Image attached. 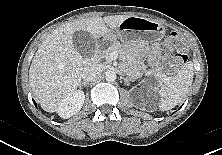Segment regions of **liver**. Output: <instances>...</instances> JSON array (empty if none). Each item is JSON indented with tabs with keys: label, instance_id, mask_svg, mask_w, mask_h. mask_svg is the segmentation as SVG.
Returning <instances> with one entry per match:
<instances>
[{
	"label": "liver",
	"instance_id": "6515ba94",
	"mask_svg": "<svg viewBox=\"0 0 222 155\" xmlns=\"http://www.w3.org/2000/svg\"><path fill=\"white\" fill-rule=\"evenodd\" d=\"M128 15L91 17L69 22L53 30L42 41L30 66L29 81L42 109L55 112L62 100L75 92L83 69L91 64L74 47L72 36L86 31L99 39L116 29Z\"/></svg>",
	"mask_w": 222,
	"mask_h": 155
}]
</instances>
